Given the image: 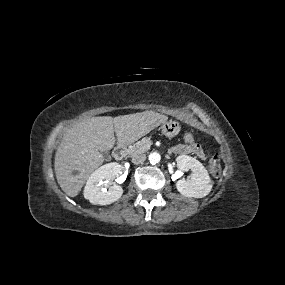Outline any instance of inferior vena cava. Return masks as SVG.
I'll return each instance as SVG.
<instances>
[{
    "label": "inferior vena cava",
    "instance_id": "obj_1",
    "mask_svg": "<svg viewBox=\"0 0 285 285\" xmlns=\"http://www.w3.org/2000/svg\"><path fill=\"white\" fill-rule=\"evenodd\" d=\"M146 160V155L145 154H135L132 157V162L134 164H141Z\"/></svg>",
    "mask_w": 285,
    "mask_h": 285
}]
</instances>
